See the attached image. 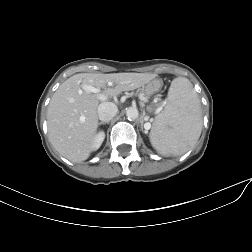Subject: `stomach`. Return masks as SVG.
<instances>
[{
  "mask_svg": "<svg viewBox=\"0 0 252 252\" xmlns=\"http://www.w3.org/2000/svg\"><path fill=\"white\" fill-rule=\"evenodd\" d=\"M162 88V81L154 79L148 82L142 89L146 96L153 95Z\"/></svg>",
  "mask_w": 252,
  "mask_h": 252,
  "instance_id": "stomach-1",
  "label": "stomach"
}]
</instances>
